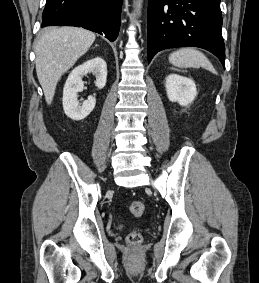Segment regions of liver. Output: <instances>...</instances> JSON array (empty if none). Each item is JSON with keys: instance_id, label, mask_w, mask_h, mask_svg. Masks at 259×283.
Here are the masks:
<instances>
[{"instance_id": "liver-1", "label": "liver", "mask_w": 259, "mask_h": 283, "mask_svg": "<svg viewBox=\"0 0 259 283\" xmlns=\"http://www.w3.org/2000/svg\"><path fill=\"white\" fill-rule=\"evenodd\" d=\"M95 38L93 32L78 27H49L42 32L35 49V63L48 105L61 76L88 51Z\"/></svg>"}]
</instances>
